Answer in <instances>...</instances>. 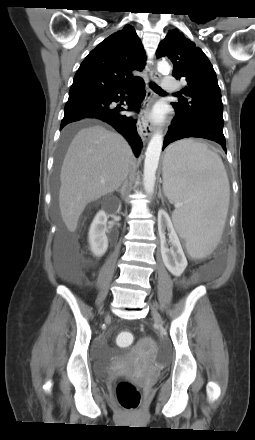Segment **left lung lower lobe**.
Listing matches in <instances>:
<instances>
[{
	"instance_id": "obj_1",
	"label": "left lung lower lobe",
	"mask_w": 255,
	"mask_h": 440,
	"mask_svg": "<svg viewBox=\"0 0 255 440\" xmlns=\"http://www.w3.org/2000/svg\"><path fill=\"white\" fill-rule=\"evenodd\" d=\"M223 121L215 118H188L176 114V117L164 139L163 149L170 143L183 138H205L219 143L226 152V142L223 134Z\"/></svg>"
}]
</instances>
